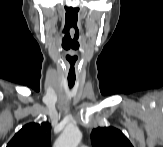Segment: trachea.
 I'll return each instance as SVG.
<instances>
[{
	"label": "trachea",
	"mask_w": 163,
	"mask_h": 147,
	"mask_svg": "<svg viewBox=\"0 0 163 147\" xmlns=\"http://www.w3.org/2000/svg\"><path fill=\"white\" fill-rule=\"evenodd\" d=\"M74 84H75L74 80H68V86L70 89L73 88Z\"/></svg>",
	"instance_id": "trachea-1"
}]
</instances>
